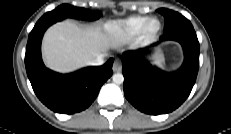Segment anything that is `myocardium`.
Here are the masks:
<instances>
[{"mask_svg":"<svg viewBox=\"0 0 231 134\" xmlns=\"http://www.w3.org/2000/svg\"><path fill=\"white\" fill-rule=\"evenodd\" d=\"M153 22L157 23V27L154 30L150 28ZM161 29H162V24L160 20L156 17H151L143 24L139 32L140 39L144 41L152 40L159 35Z\"/></svg>","mask_w":231,"mask_h":134,"instance_id":"myocardium-1","label":"myocardium"}]
</instances>
